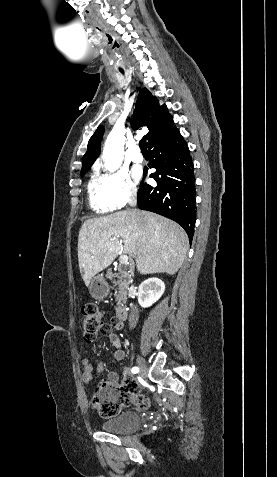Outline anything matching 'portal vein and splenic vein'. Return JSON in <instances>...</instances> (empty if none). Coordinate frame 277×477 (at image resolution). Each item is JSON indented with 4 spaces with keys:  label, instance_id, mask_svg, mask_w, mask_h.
Listing matches in <instances>:
<instances>
[{
    "label": "portal vein and splenic vein",
    "instance_id": "1",
    "mask_svg": "<svg viewBox=\"0 0 277 477\" xmlns=\"http://www.w3.org/2000/svg\"><path fill=\"white\" fill-rule=\"evenodd\" d=\"M114 239H112V240H114ZM119 262H120V264H127L128 263V255H126V254L121 255L120 258H119Z\"/></svg>",
    "mask_w": 277,
    "mask_h": 477
}]
</instances>
